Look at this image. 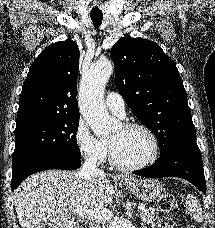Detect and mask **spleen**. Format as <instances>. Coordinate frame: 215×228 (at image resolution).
Here are the masks:
<instances>
[{"label":"spleen","instance_id":"3e777b00","mask_svg":"<svg viewBox=\"0 0 215 228\" xmlns=\"http://www.w3.org/2000/svg\"><path fill=\"white\" fill-rule=\"evenodd\" d=\"M186 204H187V206H189L190 212H191L193 218H196V220H197V218H199V220H200L202 212H201V208H200L197 200H195L194 196H191V194H190V196H187Z\"/></svg>","mask_w":215,"mask_h":228}]
</instances>
